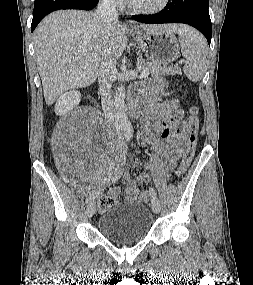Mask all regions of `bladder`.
I'll return each mask as SVG.
<instances>
[{
	"mask_svg": "<svg viewBox=\"0 0 253 285\" xmlns=\"http://www.w3.org/2000/svg\"><path fill=\"white\" fill-rule=\"evenodd\" d=\"M153 216L139 201H124L105 208L98 220L101 234L116 243L142 240L150 231Z\"/></svg>",
	"mask_w": 253,
	"mask_h": 285,
	"instance_id": "bladder-1",
	"label": "bladder"
}]
</instances>
